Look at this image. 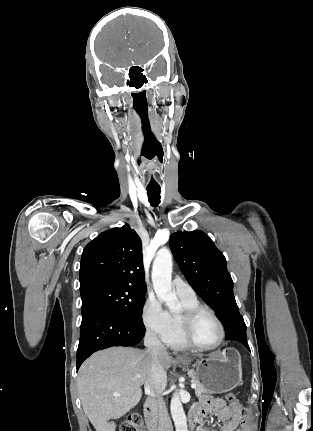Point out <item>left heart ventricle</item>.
Wrapping results in <instances>:
<instances>
[{"label":"left heart ventricle","mask_w":313,"mask_h":431,"mask_svg":"<svg viewBox=\"0 0 313 431\" xmlns=\"http://www.w3.org/2000/svg\"><path fill=\"white\" fill-rule=\"evenodd\" d=\"M192 336L196 343L202 346H211L219 340V327L209 314L204 313L197 318Z\"/></svg>","instance_id":"left-heart-ventricle-1"}]
</instances>
